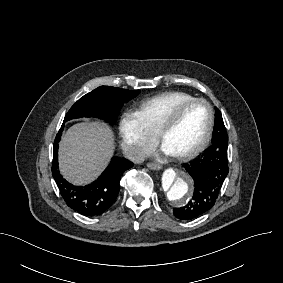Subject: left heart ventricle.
<instances>
[{
  "label": "left heart ventricle",
  "mask_w": 283,
  "mask_h": 283,
  "mask_svg": "<svg viewBox=\"0 0 283 283\" xmlns=\"http://www.w3.org/2000/svg\"><path fill=\"white\" fill-rule=\"evenodd\" d=\"M171 117V112L168 114ZM208 123V110L202 103L189 105L163 137V148L178 156L194 148L201 140Z\"/></svg>",
  "instance_id": "obj_1"
}]
</instances>
